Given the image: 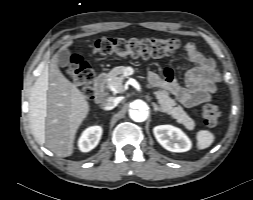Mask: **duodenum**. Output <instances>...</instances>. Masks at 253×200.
Returning <instances> with one entry per match:
<instances>
[{"label": "duodenum", "mask_w": 253, "mask_h": 200, "mask_svg": "<svg viewBox=\"0 0 253 200\" xmlns=\"http://www.w3.org/2000/svg\"><path fill=\"white\" fill-rule=\"evenodd\" d=\"M104 82V75L103 74H100L98 75L96 78H95V81H94V96L96 98H99L101 97V86Z\"/></svg>", "instance_id": "obj_1"}]
</instances>
